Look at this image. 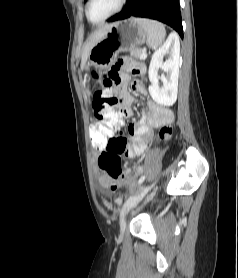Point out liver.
<instances>
[{
    "label": "liver",
    "instance_id": "obj_1",
    "mask_svg": "<svg viewBox=\"0 0 238 278\" xmlns=\"http://www.w3.org/2000/svg\"><path fill=\"white\" fill-rule=\"evenodd\" d=\"M113 24H106L100 28H98L88 39L86 42V45L84 47V51L82 54V60H81V69H84L87 59L89 57L90 51L92 47L104 37L108 29L112 26Z\"/></svg>",
    "mask_w": 238,
    "mask_h": 278
}]
</instances>
